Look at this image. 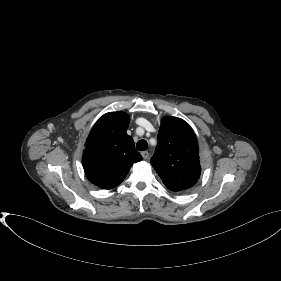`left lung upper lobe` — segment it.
Masks as SVG:
<instances>
[{"label":"left lung upper lobe","instance_id":"left-lung-upper-lobe-1","mask_svg":"<svg viewBox=\"0 0 281 281\" xmlns=\"http://www.w3.org/2000/svg\"><path fill=\"white\" fill-rule=\"evenodd\" d=\"M198 154V142L189 124L180 118L164 117L150 162L169 190L185 191L196 184L201 173Z\"/></svg>","mask_w":281,"mask_h":281}]
</instances>
